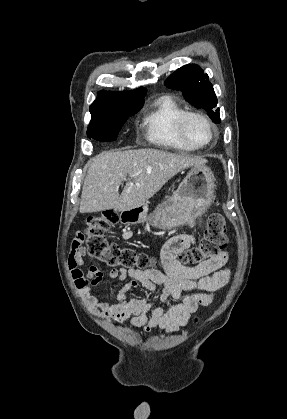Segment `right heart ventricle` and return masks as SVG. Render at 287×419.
I'll use <instances>...</instances> for the list:
<instances>
[{
	"instance_id": "e07e8e85",
	"label": "right heart ventricle",
	"mask_w": 287,
	"mask_h": 419,
	"mask_svg": "<svg viewBox=\"0 0 287 419\" xmlns=\"http://www.w3.org/2000/svg\"><path fill=\"white\" fill-rule=\"evenodd\" d=\"M184 112V108L170 96L154 100L142 119L146 139L167 149L195 150L181 139L177 131V120Z\"/></svg>"
}]
</instances>
